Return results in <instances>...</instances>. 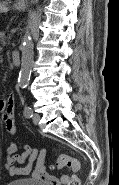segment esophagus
I'll return each mask as SVG.
<instances>
[{
  "label": "esophagus",
  "mask_w": 119,
  "mask_h": 185,
  "mask_svg": "<svg viewBox=\"0 0 119 185\" xmlns=\"http://www.w3.org/2000/svg\"><path fill=\"white\" fill-rule=\"evenodd\" d=\"M27 0H17L16 4L19 5V4H23L25 3Z\"/></svg>",
  "instance_id": "esophagus-1"
}]
</instances>
